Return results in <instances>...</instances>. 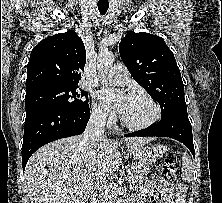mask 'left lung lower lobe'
<instances>
[{
  "instance_id": "0a47b994",
  "label": "left lung lower lobe",
  "mask_w": 222,
  "mask_h": 203,
  "mask_svg": "<svg viewBox=\"0 0 222 203\" xmlns=\"http://www.w3.org/2000/svg\"><path fill=\"white\" fill-rule=\"evenodd\" d=\"M125 137L133 136H161L176 139L186 145L195 156L192 128L188 119L187 112L172 111L161 117V120L136 132L124 135Z\"/></svg>"
}]
</instances>
